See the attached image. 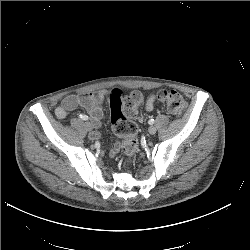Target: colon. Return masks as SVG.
Returning a JSON list of instances; mask_svg holds the SVG:
<instances>
[{
    "instance_id": "1",
    "label": "colon",
    "mask_w": 250,
    "mask_h": 250,
    "mask_svg": "<svg viewBox=\"0 0 250 250\" xmlns=\"http://www.w3.org/2000/svg\"><path fill=\"white\" fill-rule=\"evenodd\" d=\"M106 98L110 105L113 131L123 141L124 162L130 165L138 149L137 127L130 118L136 115L142 97L138 92L123 95L120 90L113 89L108 92ZM158 98L164 103L167 111L174 116H180L187 105L184 97L174 90H161Z\"/></svg>"
}]
</instances>
